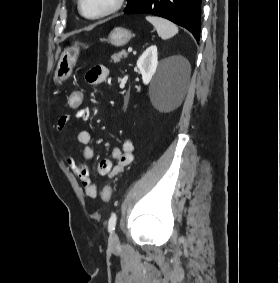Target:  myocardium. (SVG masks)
<instances>
[{"mask_svg": "<svg viewBox=\"0 0 280 283\" xmlns=\"http://www.w3.org/2000/svg\"><path fill=\"white\" fill-rule=\"evenodd\" d=\"M126 0H115L113 5L108 8L107 10L97 14V15H88L85 13L84 9H83V0H78V11L79 13L86 19L89 20H98V19H102L105 17H108L110 15H113L115 13H117L119 10L122 9V7L124 6Z\"/></svg>", "mask_w": 280, "mask_h": 283, "instance_id": "f54148a6", "label": "myocardium"}]
</instances>
